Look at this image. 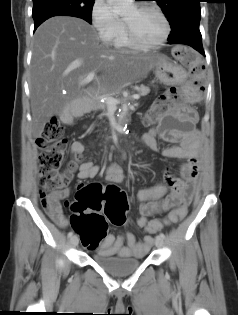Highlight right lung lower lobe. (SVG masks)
<instances>
[{
  "label": "right lung lower lobe",
  "instance_id": "98d812e1",
  "mask_svg": "<svg viewBox=\"0 0 238 315\" xmlns=\"http://www.w3.org/2000/svg\"><path fill=\"white\" fill-rule=\"evenodd\" d=\"M58 15H64V16H74V17H77L75 15H72V14H68V13H65V12H50V13H45V14H42V15H39L34 19V31L36 30V28L42 23L44 22L45 20H47L48 18H51L53 16H58Z\"/></svg>",
  "mask_w": 238,
  "mask_h": 315
}]
</instances>
